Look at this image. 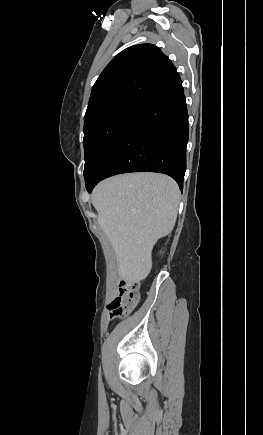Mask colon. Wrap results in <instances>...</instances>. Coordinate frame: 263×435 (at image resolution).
Here are the masks:
<instances>
[{
    "mask_svg": "<svg viewBox=\"0 0 263 435\" xmlns=\"http://www.w3.org/2000/svg\"><path fill=\"white\" fill-rule=\"evenodd\" d=\"M139 300V284L136 281L122 280L119 284V294L110 305L112 318L129 313Z\"/></svg>",
    "mask_w": 263,
    "mask_h": 435,
    "instance_id": "colon-1",
    "label": "colon"
}]
</instances>
